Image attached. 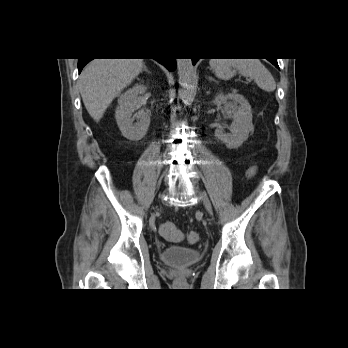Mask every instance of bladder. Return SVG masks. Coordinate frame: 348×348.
Instances as JSON below:
<instances>
[{"label": "bladder", "mask_w": 348, "mask_h": 348, "mask_svg": "<svg viewBox=\"0 0 348 348\" xmlns=\"http://www.w3.org/2000/svg\"><path fill=\"white\" fill-rule=\"evenodd\" d=\"M201 259V252L196 248L170 246L160 254V260L169 265L188 266Z\"/></svg>", "instance_id": "1"}]
</instances>
